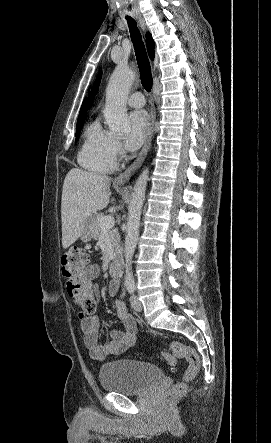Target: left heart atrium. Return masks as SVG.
I'll return each mask as SVG.
<instances>
[{
  "instance_id": "1",
  "label": "left heart atrium",
  "mask_w": 271,
  "mask_h": 443,
  "mask_svg": "<svg viewBox=\"0 0 271 443\" xmlns=\"http://www.w3.org/2000/svg\"><path fill=\"white\" fill-rule=\"evenodd\" d=\"M128 120L131 132L126 141V146L129 150H135L144 143L149 133V116L144 110H135L129 114Z\"/></svg>"
}]
</instances>
